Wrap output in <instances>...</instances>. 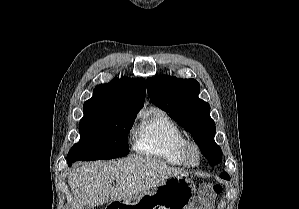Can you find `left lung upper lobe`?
<instances>
[{
  "instance_id": "5c2ea615",
  "label": "left lung upper lobe",
  "mask_w": 299,
  "mask_h": 209,
  "mask_svg": "<svg viewBox=\"0 0 299 209\" xmlns=\"http://www.w3.org/2000/svg\"><path fill=\"white\" fill-rule=\"evenodd\" d=\"M147 91L153 104L168 112L188 131L211 164L222 160V150L214 141L216 127L211 119L210 105L198 98L199 83L161 75L147 79Z\"/></svg>"
}]
</instances>
